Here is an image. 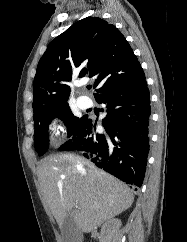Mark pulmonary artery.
Listing matches in <instances>:
<instances>
[{
    "instance_id": "1",
    "label": "pulmonary artery",
    "mask_w": 187,
    "mask_h": 242,
    "mask_svg": "<svg viewBox=\"0 0 187 242\" xmlns=\"http://www.w3.org/2000/svg\"><path fill=\"white\" fill-rule=\"evenodd\" d=\"M78 104L82 109H86L91 105V102L87 97L83 96L78 99Z\"/></svg>"
}]
</instances>
